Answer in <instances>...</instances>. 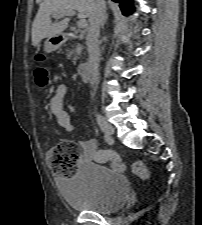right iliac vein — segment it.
I'll list each match as a JSON object with an SVG mask.
<instances>
[{
    "mask_svg": "<svg viewBox=\"0 0 202 225\" xmlns=\"http://www.w3.org/2000/svg\"><path fill=\"white\" fill-rule=\"evenodd\" d=\"M96 119L100 129L104 132L105 136L111 137L114 134L113 126L101 115H96Z\"/></svg>",
    "mask_w": 202,
    "mask_h": 225,
    "instance_id": "obj_1",
    "label": "right iliac vein"
}]
</instances>
